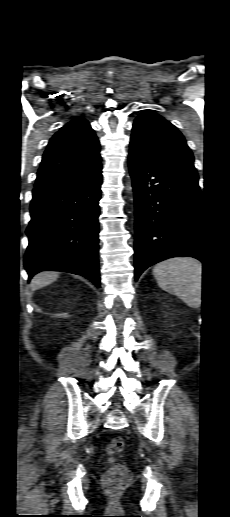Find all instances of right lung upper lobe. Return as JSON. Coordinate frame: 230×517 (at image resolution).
I'll return each mask as SVG.
<instances>
[{"label":"right lung upper lobe","mask_w":230,"mask_h":517,"mask_svg":"<svg viewBox=\"0 0 230 517\" xmlns=\"http://www.w3.org/2000/svg\"><path fill=\"white\" fill-rule=\"evenodd\" d=\"M99 141L89 122L77 117L49 141L38 170L35 187L67 181L101 164Z\"/></svg>","instance_id":"obj_1"}]
</instances>
